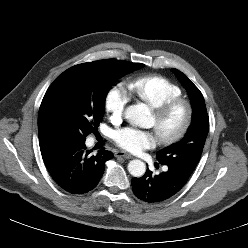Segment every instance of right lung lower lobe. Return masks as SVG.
Here are the masks:
<instances>
[{"mask_svg":"<svg viewBox=\"0 0 248 248\" xmlns=\"http://www.w3.org/2000/svg\"><path fill=\"white\" fill-rule=\"evenodd\" d=\"M41 153L54 181L72 194H84L95 188L103 175L105 162L114 157L105 149L91 155L85 142L69 140L51 143Z\"/></svg>","mask_w":248,"mask_h":248,"instance_id":"1","label":"right lung lower lobe"}]
</instances>
